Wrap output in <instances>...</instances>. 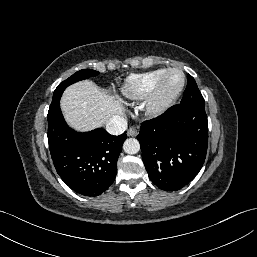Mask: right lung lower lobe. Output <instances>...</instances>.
I'll return each mask as SVG.
<instances>
[{
  "instance_id": "right-lung-lower-lobe-1",
  "label": "right lung lower lobe",
  "mask_w": 257,
  "mask_h": 257,
  "mask_svg": "<svg viewBox=\"0 0 257 257\" xmlns=\"http://www.w3.org/2000/svg\"><path fill=\"white\" fill-rule=\"evenodd\" d=\"M126 132L113 136L104 129L79 133L69 128L59 101L48 111V143L61 179L75 192L97 196L114 182Z\"/></svg>"
}]
</instances>
